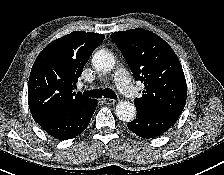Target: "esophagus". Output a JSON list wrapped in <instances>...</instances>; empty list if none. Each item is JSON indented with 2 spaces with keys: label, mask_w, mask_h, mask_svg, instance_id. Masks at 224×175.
I'll return each mask as SVG.
<instances>
[{
  "label": "esophagus",
  "mask_w": 224,
  "mask_h": 175,
  "mask_svg": "<svg viewBox=\"0 0 224 175\" xmlns=\"http://www.w3.org/2000/svg\"><path fill=\"white\" fill-rule=\"evenodd\" d=\"M103 101L107 105H114L116 103V100L111 99V98H105Z\"/></svg>",
  "instance_id": "1"
}]
</instances>
